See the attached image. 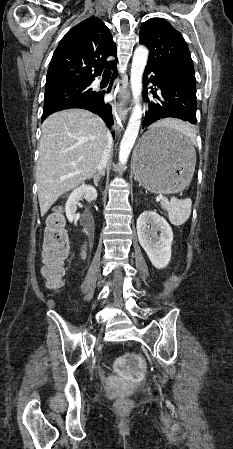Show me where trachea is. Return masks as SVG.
Listing matches in <instances>:
<instances>
[{
  "label": "trachea",
  "mask_w": 233,
  "mask_h": 449,
  "mask_svg": "<svg viewBox=\"0 0 233 449\" xmlns=\"http://www.w3.org/2000/svg\"><path fill=\"white\" fill-rule=\"evenodd\" d=\"M104 74H111V71L108 70V69H106V70L104 71Z\"/></svg>",
  "instance_id": "3493384b"
}]
</instances>
